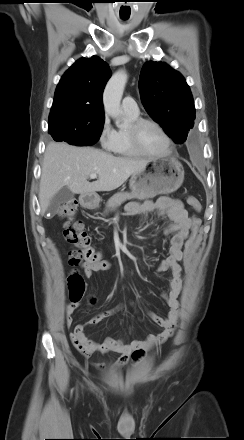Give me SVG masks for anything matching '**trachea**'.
I'll list each match as a JSON object with an SVG mask.
<instances>
[{
	"label": "trachea",
	"mask_w": 244,
	"mask_h": 440,
	"mask_svg": "<svg viewBox=\"0 0 244 440\" xmlns=\"http://www.w3.org/2000/svg\"><path fill=\"white\" fill-rule=\"evenodd\" d=\"M123 20H126L127 18H122Z\"/></svg>",
	"instance_id": "3493384b"
}]
</instances>
